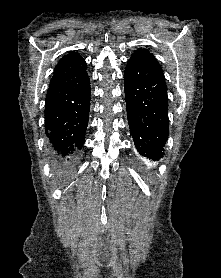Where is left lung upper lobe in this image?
I'll return each instance as SVG.
<instances>
[{
	"label": "left lung upper lobe",
	"instance_id": "1",
	"mask_svg": "<svg viewBox=\"0 0 221 278\" xmlns=\"http://www.w3.org/2000/svg\"><path fill=\"white\" fill-rule=\"evenodd\" d=\"M145 59H154V56L152 53H150L148 50L146 49H138L136 50L132 55H131V58H130V61H142V60H145Z\"/></svg>",
	"mask_w": 221,
	"mask_h": 278
}]
</instances>
